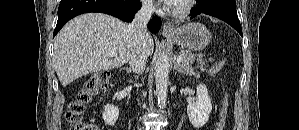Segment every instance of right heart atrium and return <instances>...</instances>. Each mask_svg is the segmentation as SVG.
Instances as JSON below:
<instances>
[{"label": "right heart atrium", "mask_w": 299, "mask_h": 130, "mask_svg": "<svg viewBox=\"0 0 299 130\" xmlns=\"http://www.w3.org/2000/svg\"><path fill=\"white\" fill-rule=\"evenodd\" d=\"M143 6H144V8H145L146 10H148V11H152V10H154V8H155V6H154V4H153L152 1H144V2H143Z\"/></svg>", "instance_id": "d8ad5b80"}]
</instances>
